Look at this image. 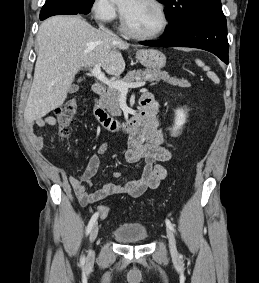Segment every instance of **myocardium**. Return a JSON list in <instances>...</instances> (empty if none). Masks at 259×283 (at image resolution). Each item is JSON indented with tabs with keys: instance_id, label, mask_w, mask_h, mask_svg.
I'll return each mask as SVG.
<instances>
[{
	"instance_id": "1",
	"label": "myocardium",
	"mask_w": 259,
	"mask_h": 283,
	"mask_svg": "<svg viewBox=\"0 0 259 283\" xmlns=\"http://www.w3.org/2000/svg\"><path fill=\"white\" fill-rule=\"evenodd\" d=\"M151 3H153L154 5H156L158 7V9L161 12L162 18H163V24L162 27L160 28V30H158L155 33L152 34H142V33H138L134 30L131 29V27L129 26L126 17L122 11V9H120V23H121V29L122 31L135 39H141V40H150V39H156L159 38L160 36H162L166 30L168 29L169 26V16H168V12L167 9L165 7V5L160 1V0H148Z\"/></svg>"
}]
</instances>
